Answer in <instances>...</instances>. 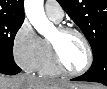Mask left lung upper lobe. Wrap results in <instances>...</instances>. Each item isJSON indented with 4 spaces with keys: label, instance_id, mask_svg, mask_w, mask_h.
<instances>
[{
    "label": "left lung upper lobe",
    "instance_id": "obj_1",
    "mask_svg": "<svg viewBox=\"0 0 107 89\" xmlns=\"http://www.w3.org/2000/svg\"><path fill=\"white\" fill-rule=\"evenodd\" d=\"M80 27L93 54L107 47V0H58Z\"/></svg>",
    "mask_w": 107,
    "mask_h": 89
}]
</instances>
